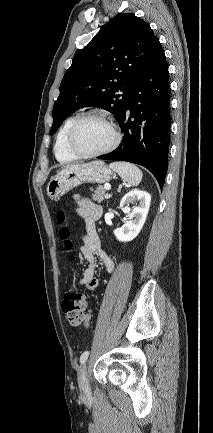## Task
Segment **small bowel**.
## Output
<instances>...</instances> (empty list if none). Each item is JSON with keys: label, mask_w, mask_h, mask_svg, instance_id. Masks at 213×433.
<instances>
[{"label": "small bowel", "mask_w": 213, "mask_h": 433, "mask_svg": "<svg viewBox=\"0 0 213 433\" xmlns=\"http://www.w3.org/2000/svg\"><path fill=\"white\" fill-rule=\"evenodd\" d=\"M76 213L85 221V232L80 234L81 244L78 251L88 262L82 277L74 283V286H86L89 291H94L98 286L96 276V261L100 259L108 273L114 271L113 260L101 249L99 236L95 229L94 221L100 216L101 207L89 199H78ZM90 313H88V320Z\"/></svg>", "instance_id": "obj_1"}]
</instances>
